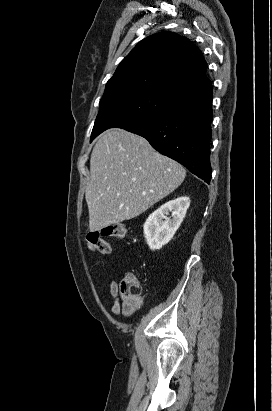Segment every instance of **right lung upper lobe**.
Masks as SVG:
<instances>
[{
  "instance_id": "right-lung-upper-lobe-1",
  "label": "right lung upper lobe",
  "mask_w": 272,
  "mask_h": 411,
  "mask_svg": "<svg viewBox=\"0 0 272 411\" xmlns=\"http://www.w3.org/2000/svg\"><path fill=\"white\" fill-rule=\"evenodd\" d=\"M202 52L189 39L161 32L139 42L121 61L104 93L146 89L182 105L213 92Z\"/></svg>"
}]
</instances>
